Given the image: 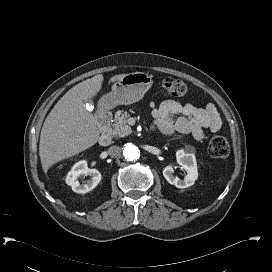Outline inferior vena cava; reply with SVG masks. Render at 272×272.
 I'll return each mask as SVG.
<instances>
[{"label":"inferior vena cava","instance_id":"obj_1","mask_svg":"<svg viewBox=\"0 0 272 272\" xmlns=\"http://www.w3.org/2000/svg\"><path fill=\"white\" fill-rule=\"evenodd\" d=\"M108 153L111 157H119L121 155V148L117 145L109 147Z\"/></svg>","mask_w":272,"mask_h":272}]
</instances>
